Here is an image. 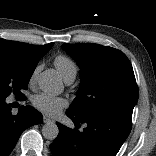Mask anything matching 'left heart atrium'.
Listing matches in <instances>:
<instances>
[{
    "instance_id": "obj_1",
    "label": "left heart atrium",
    "mask_w": 156,
    "mask_h": 156,
    "mask_svg": "<svg viewBox=\"0 0 156 156\" xmlns=\"http://www.w3.org/2000/svg\"><path fill=\"white\" fill-rule=\"evenodd\" d=\"M33 105L42 113L49 116H55L67 106V101L62 97L40 93L34 96Z\"/></svg>"
}]
</instances>
